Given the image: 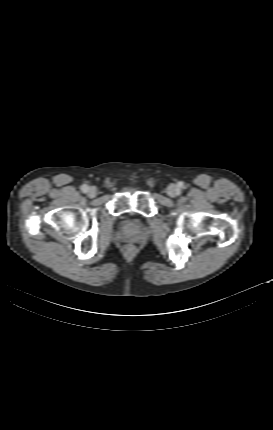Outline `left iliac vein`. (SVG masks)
I'll use <instances>...</instances> for the list:
<instances>
[{"label": "left iliac vein", "mask_w": 273, "mask_h": 430, "mask_svg": "<svg viewBox=\"0 0 273 430\" xmlns=\"http://www.w3.org/2000/svg\"><path fill=\"white\" fill-rule=\"evenodd\" d=\"M167 193L169 196L175 197L179 194V189L176 185L171 184L167 189Z\"/></svg>", "instance_id": "4c4485c4"}]
</instances>
